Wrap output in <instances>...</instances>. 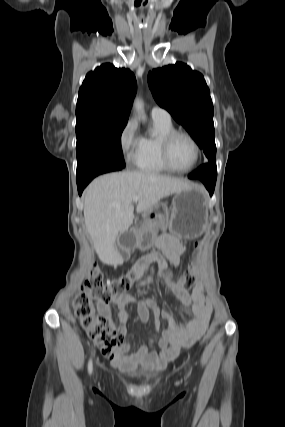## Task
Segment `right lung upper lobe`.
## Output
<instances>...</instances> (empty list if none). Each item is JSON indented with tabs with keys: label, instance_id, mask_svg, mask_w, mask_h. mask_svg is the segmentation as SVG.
Segmentation results:
<instances>
[{
	"label": "right lung upper lobe",
	"instance_id": "cb5924a9",
	"mask_svg": "<svg viewBox=\"0 0 285 427\" xmlns=\"http://www.w3.org/2000/svg\"><path fill=\"white\" fill-rule=\"evenodd\" d=\"M134 74L110 63L86 75L79 90L76 117L127 120L136 94Z\"/></svg>",
	"mask_w": 285,
	"mask_h": 427
}]
</instances>
